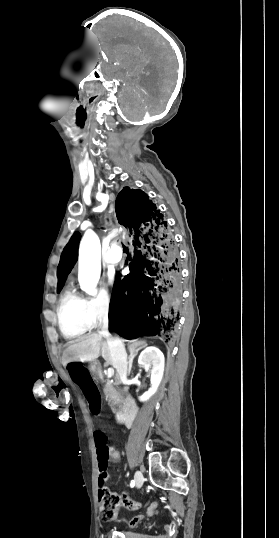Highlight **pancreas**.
<instances>
[{"instance_id": "pancreas-1", "label": "pancreas", "mask_w": 279, "mask_h": 538, "mask_svg": "<svg viewBox=\"0 0 279 538\" xmlns=\"http://www.w3.org/2000/svg\"><path fill=\"white\" fill-rule=\"evenodd\" d=\"M102 382H105L103 392L109 406H116L120 402V392L114 388L112 382H109V380H102Z\"/></svg>"}]
</instances>
